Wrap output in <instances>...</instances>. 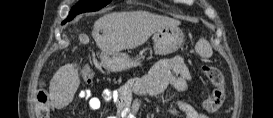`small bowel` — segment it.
I'll use <instances>...</instances> for the list:
<instances>
[{
    "mask_svg": "<svg viewBox=\"0 0 273 118\" xmlns=\"http://www.w3.org/2000/svg\"><path fill=\"white\" fill-rule=\"evenodd\" d=\"M191 73L186 62L181 57L159 60L150 71L138 80H130L119 90L106 89L100 95H92L89 90H81L80 96L88 102L93 111L101 109L104 103L112 102L116 113L114 118H136L145 100L160 98L170 84L183 94H189ZM141 98L131 104L132 94ZM171 106L184 113L186 118H206L203 112L204 104L196 102L171 101Z\"/></svg>",
    "mask_w": 273,
    "mask_h": 118,
    "instance_id": "obj_1",
    "label": "small bowel"
}]
</instances>
